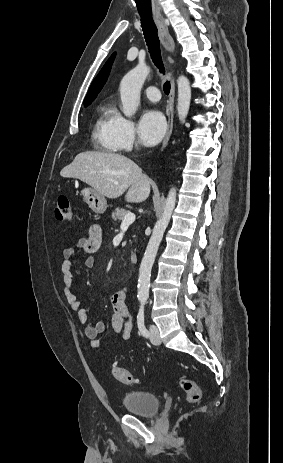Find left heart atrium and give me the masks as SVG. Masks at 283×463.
<instances>
[{
	"instance_id": "left-heart-atrium-1",
	"label": "left heart atrium",
	"mask_w": 283,
	"mask_h": 463,
	"mask_svg": "<svg viewBox=\"0 0 283 463\" xmlns=\"http://www.w3.org/2000/svg\"><path fill=\"white\" fill-rule=\"evenodd\" d=\"M166 131L164 116L157 110L145 111L139 120L138 134L141 141L148 146L157 144Z\"/></svg>"
}]
</instances>
